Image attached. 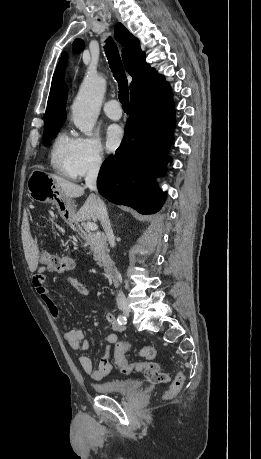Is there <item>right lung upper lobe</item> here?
<instances>
[{"mask_svg": "<svg viewBox=\"0 0 261 459\" xmlns=\"http://www.w3.org/2000/svg\"><path fill=\"white\" fill-rule=\"evenodd\" d=\"M115 39L127 49L122 50L125 69L132 76L130 84V100L145 95L167 82L145 61V53L139 47V40L135 38L121 24H117L114 30ZM62 58L52 79L48 105L45 113V125L60 124L65 121V102L67 92L64 86V66L67 55Z\"/></svg>", "mask_w": 261, "mask_h": 459, "instance_id": "obj_1", "label": "right lung upper lobe"}]
</instances>
